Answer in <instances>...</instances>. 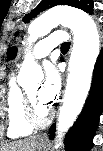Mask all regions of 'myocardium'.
<instances>
[{
  "label": "myocardium",
  "mask_w": 103,
  "mask_h": 151,
  "mask_svg": "<svg viewBox=\"0 0 103 151\" xmlns=\"http://www.w3.org/2000/svg\"><path fill=\"white\" fill-rule=\"evenodd\" d=\"M23 95H24V116L26 122L33 128L46 127L52 120L53 109L49 108L46 116L44 118H39L35 113L33 102L26 90L24 91Z\"/></svg>",
  "instance_id": "obj_1"
}]
</instances>
